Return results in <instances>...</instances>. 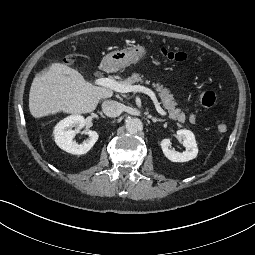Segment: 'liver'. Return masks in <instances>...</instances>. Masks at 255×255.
Masks as SVG:
<instances>
[{
  "mask_svg": "<svg viewBox=\"0 0 255 255\" xmlns=\"http://www.w3.org/2000/svg\"><path fill=\"white\" fill-rule=\"evenodd\" d=\"M111 96L110 89L94 86L77 70L54 63L47 72L35 76L29 93V110L34 118L58 112L86 114L96 109L100 99Z\"/></svg>",
  "mask_w": 255,
  "mask_h": 255,
  "instance_id": "6515ba94",
  "label": "liver"
}]
</instances>
